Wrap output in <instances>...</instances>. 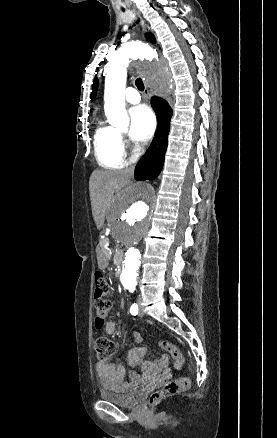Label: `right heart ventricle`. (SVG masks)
I'll return each mask as SVG.
<instances>
[{
	"label": "right heart ventricle",
	"mask_w": 277,
	"mask_h": 438,
	"mask_svg": "<svg viewBox=\"0 0 277 438\" xmlns=\"http://www.w3.org/2000/svg\"><path fill=\"white\" fill-rule=\"evenodd\" d=\"M94 148L97 161L101 166L114 170L123 168L125 154L121 145V133L114 125L103 124L97 128Z\"/></svg>",
	"instance_id": "obj_1"
}]
</instances>
